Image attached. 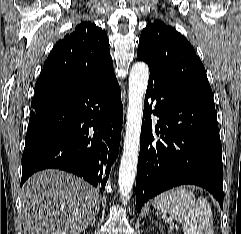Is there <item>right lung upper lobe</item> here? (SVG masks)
Wrapping results in <instances>:
<instances>
[{
  "mask_svg": "<svg viewBox=\"0 0 241 234\" xmlns=\"http://www.w3.org/2000/svg\"><path fill=\"white\" fill-rule=\"evenodd\" d=\"M113 74L106 33L91 22H82L53 47L32 102L89 88Z\"/></svg>",
  "mask_w": 241,
  "mask_h": 234,
  "instance_id": "cb5924a9",
  "label": "right lung upper lobe"
}]
</instances>
